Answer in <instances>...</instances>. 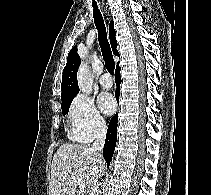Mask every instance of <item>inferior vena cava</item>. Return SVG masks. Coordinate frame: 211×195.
I'll return each mask as SVG.
<instances>
[{"label":"inferior vena cava","mask_w":211,"mask_h":195,"mask_svg":"<svg viewBox=\"0 0 211 195\" xmlns=\"http://www.w3.org/2000/svg\"><path fill=\"white\" fill-rule=\"evenodd\" d=\"M106 132H107L106 124L104 122L99 123L96 129L95 141L93 142V145L91 147L92 151L100 152L103 149L106 138ZM101 176L102 172H100V174H98V177L94 180L89 195H98V189H99L98 179Z\"/></svg>","instance_id":"602c4592"}]
</instances>
